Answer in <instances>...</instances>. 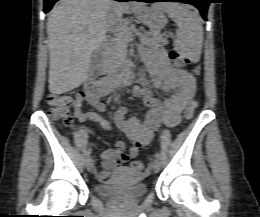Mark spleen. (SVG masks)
Instances as JSON below:
<instances>
[{
	"label": "spleen",
	"instance_id": "spleen-1",
	"mask_svg": "<svg viewBox=\"0 0 260 217\" xmlns=\"http://www.w3.org/2000/svg\"><path fill=\"white\" fill-rule=\"evenodd\" d=\"M167 13L177 24L178 31L174 46L183 55L198 58L203 43V27L197 14L177 3H161L153 5Z\"/></svg>",
	"mask_w": 260,
	"mask_h": 217
}]
</instances>
